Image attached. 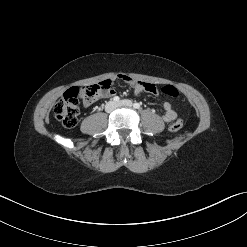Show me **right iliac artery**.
Masks as SVG:
<instances>
[{
	"mask_svg": "<svg viewBox=\"0 0 247 247\" xmlns=\"http://www.w3.org/2000/svg\"><path fill=\"white\" fill-rule=\"evenodd\" d=\"M119 100H120V98H119L118 96H115V97L113 98V101H114V102H119Z\"/></svg>",
	"mask_w": 247,
	"mask_h": 247,
	"instance_id": "82829eb1",
	"label": "right iliac artery"
}]
</instances>
